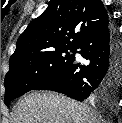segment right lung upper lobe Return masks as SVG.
<instances>
[{
  "label": "right lung upper lobe",
  "instance_id": "1",
  "mask_svg": "<svg viewBox=\"0 0 122 123\" xmlns=\"http://www.w3.org/2000/svg\"><path fill=\"white\" fill-rule=\"evenodd\" d=\"M109 21L100 0H51L18 38L9 64L43 53L77 49Z\"/></svg>",
  "mask_w": 122,
  "mask_h": 123
}]
</instances>
